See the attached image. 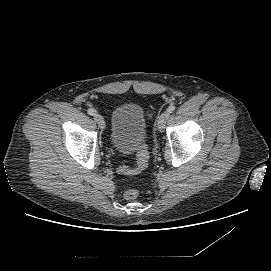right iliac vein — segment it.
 Masks as SVG:
<instances>
[{
  "mask_svg": "<svg viewBox=\"0 0 271 271\" xmlns=\"http://www.w3.org/2000/svg\"><path fill=\"white\" fill-rule=\"evenodd\" d=\"M94 120L96 121V123L98 124V126L101 129H105V120L104 118L100 115V114H95L94 115Z\"/></svg>",
  "mask_w": 271,
  "mask_h": 271,
  "instance_id": "obj_1",
  "label": "right iliac vein"
}]
</instances>
